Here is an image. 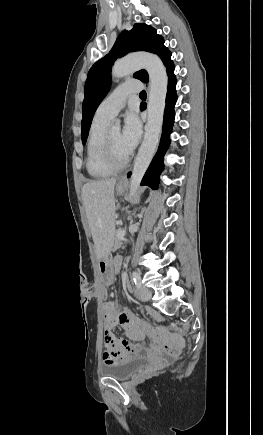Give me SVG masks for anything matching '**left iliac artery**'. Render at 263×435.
Instances as JSON below:
<instances>
[{
  "instance_id": "left-iliac-artery-1",
  "label": "left iliac artery",
  "mask_w": 263,
  "mask_h": 435,
  "mask_svg": "<svg viewBox=\"0 0 263 435\" xmlns=\"http://www.w3.org/2000/svg\"><path fill=\"white\" fill-rule=\"evenodd\" d=\"M132 276H133V280H134V283H135L137 289H139L141 287L140 275L136 271H133Z\"/></svg>"
}]
</instances>
